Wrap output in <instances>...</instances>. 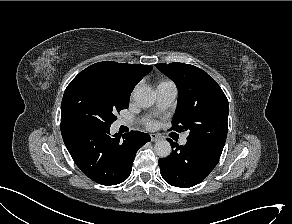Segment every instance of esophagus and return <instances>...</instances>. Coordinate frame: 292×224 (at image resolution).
Here are the masks:
<instances>
[{"mask_svg":"<svg viewBox=\"0 0 292 224\" xmlns=\"http://www.w3.org/2000/svg\"><path fill=\"white\" fill-rule=\"evenodd\" d=\"M150 137L152 142H156L161 139V136L155 133L150 134Z\"/></svg>","mask_w":292,"mask_h":224,"instance_id":"1","label":"esophagus"}]
</instances>
